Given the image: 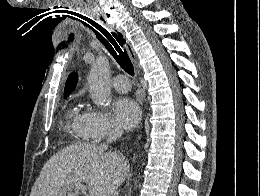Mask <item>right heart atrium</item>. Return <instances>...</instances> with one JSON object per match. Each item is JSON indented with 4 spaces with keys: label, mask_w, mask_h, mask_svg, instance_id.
I'll return each instance as SVG.
<instances>
[{
    "label": "right heart atrium",
    "mask_w": 260,
    "mask_h": 196,
    "mask_svg": "<svg viewBox=\"0 0 260 196\" xmlns=\"http://www.w3.org/2000/svg\"><path fill=\"white\" fill-rule=\"evenodd\" d=\"M80 126L88 130H110L116 128L106 112L93 107L85 110Z\"/></svg>",
    "instance_id": "obj_1"
}]
</instances>
